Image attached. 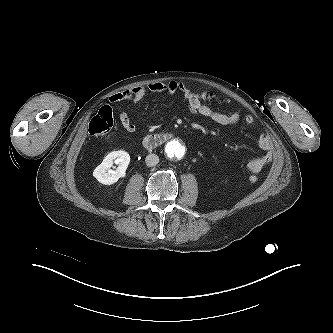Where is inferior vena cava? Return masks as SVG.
Returning a JSON list of instances; mask_svg holds the SVG:
<instances>
[{"mask_svg": "<svg viewBox=\"0 0 333 333\" xmlns=\"http://www.w3.org/2000/svg\"><path fill=\"white\" fill-rule=\"evenodd\" d=\"M145 162L149 167L156 166L159 162V157L156 154H149L146 156Z\"/></svg>", "mask_w": 333, "mask_h": 333, "instance_id": "inferior-vena-cava-1", "label": "inferior vena cava"}]
</instances>
